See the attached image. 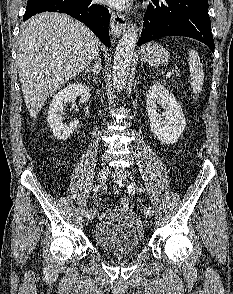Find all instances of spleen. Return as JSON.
Instances as JSON below:
<instances>
[{"mask_svg":"<svg viewBox=\"0 0 233 294\" xmlns=\"http://www.w3.org/2000/svg\"><path fill=\"white\" fill-rule=\"evenodd\" d=\"M188 63L193 93L195 95H198L201 92L203 86L204 71L200 61V57L198 53L193 49L189 51Z\"/></svg>","mask_w":233,"mask_h":294,"instance_id":"1","label":"spleen"}]
</instances>
